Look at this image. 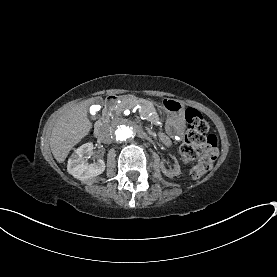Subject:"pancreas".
Instances as JSON below:
<instances>
[{"mask_svg": "<svg viewBox=\"0 0 277 277\" xmlns=\"http://www.w3.org/2000/svg\"><path fill=\"white\" fill-rule=\"evenodd\" d=\"M153 104L150 101H143L139 97L126 96L122 99L120 96L117 100L111 101L107 105V113L111 117H116L120 112H124L127 109L134 110L139 116L144 117L148 124H156L159 121V114L153 111Z\"/></svg>", "mask_w": 277, "mask_h": 277, "instance_id": "obj_1", "label": "pancreas"}]
</instances>
